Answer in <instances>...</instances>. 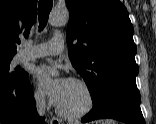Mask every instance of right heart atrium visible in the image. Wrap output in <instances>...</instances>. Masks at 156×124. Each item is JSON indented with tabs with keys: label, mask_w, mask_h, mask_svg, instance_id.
<instances>
[{
	"label": "right heart atrium",
	"mask_w": 156,
	"mask_h": 124,
	"mask_svg": "<svg viewBox=\"0 0 156 124\" xmlns=\"http://www.w3.org/2000/svg\"><path fill=\"white\" fill-rule=\"evenodd\" d=\"M34 99H35L36 104L39 107H44L46 105V102H47L46 93L39 86H37L35 91H34Z\"/></svg>",
	"instance_id": "1"
}]
</instances>
